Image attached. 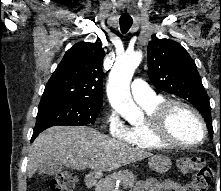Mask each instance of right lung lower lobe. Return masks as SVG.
<instances>
[{"instance_id":"98d812e1","label":"right lung lower lobe","mask_w":221,"mask_h":191,"mask_svg":"<svg viewBox=\"0 0 221 191\" xmlns=\"http://www.w3.org/2000/svg\"><path fill=\"white\" fill-rule=\"evenodd\" d=\"M51 126H52V124L51 123H47V122L40 121V122L36 123V126L34 128V133H33L32 139H31V142L38 136V134L40 132H42L43 130H45V129L51 127Z\"/></svg>"}]
</instances>
